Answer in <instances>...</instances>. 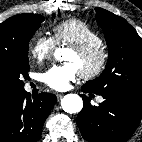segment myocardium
Returning a JSON list of instances; mask_svg holds the SVG:
<instances>
[{
	"label": "myocardium",
	"mask_w": 142,
	"mask_h": 142,
	"mask_svg": "<svg viewBox=\"0 0 142 142\" xmlns=\"http://www.w3.org/2000/svg\"><path fill=\"white\" fill-rule=\"evenodd\" d=\"M72 50H74L81 58L96 59L95 64L91 68L80 71V74L84 79H93L105 70L108 63L109 53L103 43L72 46Z\"/></svg>",
	"instance_id": "obj_1"
}]
</instances>
